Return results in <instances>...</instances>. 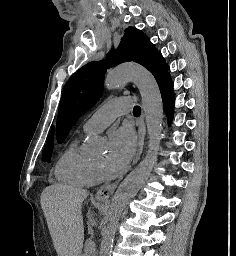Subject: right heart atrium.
I'll list each match as a JSON object with an SVG mask.
<instances>
[{"label":"right heart atrium","instance_id":"1","mask_svg":"<svg viewBox=\"0 0 236 256\" xmlns=\"http://www.w3.org/2000/svg\"><path fill=\"white\" fill-rule=\"evenodd\" d=\"M106 179L105 170L98 164H93L91 172L90 185H96L103 182Z\"/></svg>","mask_w":236,"mask_h":256}]
</instances>
